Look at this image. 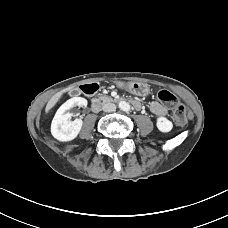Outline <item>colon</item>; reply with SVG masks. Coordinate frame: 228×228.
<instances>
[{
	"mask_svg": "<svg viewBox=\"0 0 228 228\" xmlns=\"http://www.w3.org/2000/svg\"><path fill=\"white\" fill-rule=\"evenodd\" d=\"M157 96L161 102L174 108V120L178 125H185L189 121L190 113L188 109L179 103L174 94L167 90H161Z\"/></svg>",
	"mask_w": 228,
	"mask_h": 228,
	"instance_id": "colon-1",
	"label": "colon"
}]
</instances>
